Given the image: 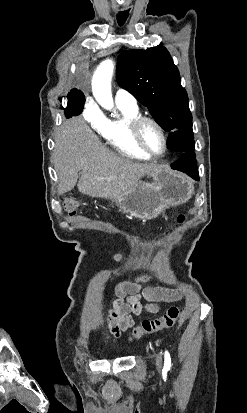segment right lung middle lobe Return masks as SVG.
<instances>
[{
	"label": "right lung middle lobe",
	"instance_id": "1",
	"mask_svg": "<svg viewBox=\"0 0 247 413\" xmlns=\"http://www.w3.org/2000/svg\"><path fill=\"white\" fill-rule=\"evenodd\" d=\"M67 98L69 101L67 107L64 109H67L75 116L79 115L82 112L85 103L84 94L78 89H73L70 91Z\"/></svg>",
	"mask_w": 247,
	"mask_h": 413
}]
</instances>
